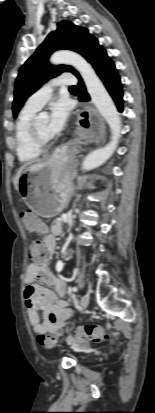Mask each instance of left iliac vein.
Here are the masks:
<instances>
[{"mask_svg": "<svg viewBox=\"0 0 155 413\" xmlns=\"http://www.w3.org/2000/svg\"><path fill=\"white\" fill-rule=\"evenodd\" d=\"M89 301H90V297L88 294H85L82 296L81 301H80V307H81L82 312H84L87 309L89 305Z\"/></svg>", "mask_w": 155, "mask_h": 413, "instance_id": "4c4485c4", "label": "left iliac vein"}]
</instances>
